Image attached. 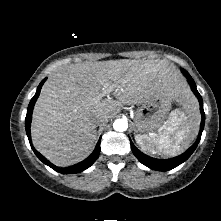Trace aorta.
Segmentation results:
<instances>
[{
    "mask_svg": "<svg viewBox=\"0 0 221 221\" xmlns=\"http://www.w3.org/2000/svg\"><path fill=\"white\" fill-rule=\"evenodd\" d=\"M113 128L118 132L126 131L128 128V122L125 119H117L113 123Z\"/></svg>",
    "mask_w": 221,
    "mask_h": 221,
    "instance_id": "obj_1",
    "label": "aorta"
}]
</instances>
